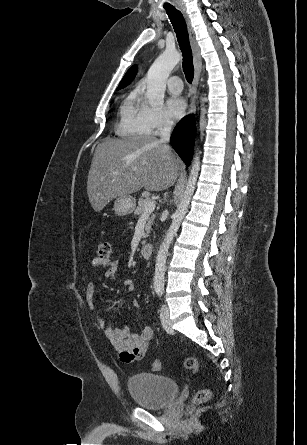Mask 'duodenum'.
Returning <instances> with one entry per match:
<instances>
[{
    "instance_id": "410a0bca",
    "label": "duodenum",
    "mask_w": 307,
    "mask_h": 445,
    "mask_svg": "<svg viewBox=\"0 0 307 445\" xmlns=\"http://www.w3.org/2000/svg\"><path fill=\"white\" fill-rule=\"evenodd\" d=\"M153 245L151 243H145L140 248V253L144 258H150L153 253Z\"/></svg>"
}]
</instances>
